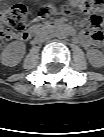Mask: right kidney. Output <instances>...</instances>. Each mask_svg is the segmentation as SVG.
Listing matches in <instances>:
<instances>
[{"label": "right kidney", "mask_w": 104, "mask_h": 137, "mask_svg": "<svg viewBox=\"0 0 104 137\" xmlns=\"http://www.w3.org/2000/svg\"><path fill=\"white\" fill-rule=\"evenodd\" d=\"M25 54V45L20 41L9 43L1 53L0 60L3 65L16 66Z\"/></svg>", "instance_id": "1"}]
</instances>
